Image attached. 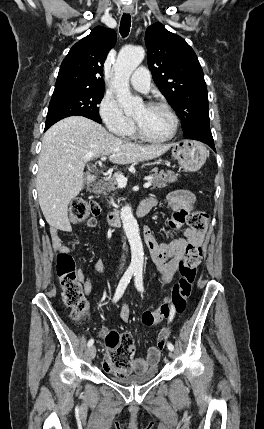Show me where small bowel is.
Instances as JSON below:
<instances>
[{
  "instance_id": "1",
  "label": "small bowel",
  "mask_w": 264,
  "mask_h": 429,
  "mask_svg": "<svg viewBox=\"0 0 264 429\" xmlns=\"http://www.w3.org/2000/svg\"><path fill=\"white\" fill-rule=\"evenodd\" d=\"M167 200L170 205L174 208V213L168 222L167 228L173 231H179L183 229V237L173 240L170 243L159 244L154 236L153 231L146 227L143 231L144 240L149 248L152 262L160 273V280L162 283H169L174 275L176 274L178 264L186 253L190 246H200L203 240L202 232L195 231L190 228H183L188 212H190L195 204V196L193 193L187 190H176L167 196ZM143 202L152 204V207L156 205V200L147 199ZM97 224L95 218H90L86 222L85 226L93 228ZM69 230V229H67ZM52 243L54 248L60 252H67L68 248L63 244L59 230L54 229L51 233ZM95 268L100 271H104V268L95 264ZM78 279L84 285L86 294L91 292V281L88 275L82 271L78 272ZM121 319L125 322L130 320V310L126 304H123L120 312ZM161 333L166 335V339L169 336V330L163 329ZM161 349L158 346H151L146 354V357H137L133 359L131 364V372L142 374L147 372L150 368L155 367L160 359ZM107 353L104 356L103 368L108 371L106 365Z\"/></svg>"
}]
</instances>
